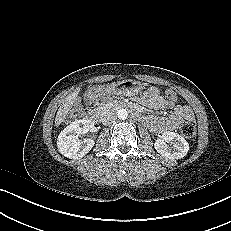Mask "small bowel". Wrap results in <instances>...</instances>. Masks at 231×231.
Instances as JSON below:
<instances>
[{"mask_svg": "<svg viewBox=\"0 0 231 231\" xmlns=\"http://www.w3.org/2000/svg\"><path fill=\"white\" fill-rule=\"evenodd\" d=\"M139 101L151 109L171 111L169 116H148L143 118V123L155 133L173 131L182 121L194 119L193 112L189 106L175 104V102L163 98L156 87H151L145 91Z\"/></svg>", "mask_w": 231, "mask_h": 231, "instance_id": "1", "label": "small bowel"}]
</instances>
